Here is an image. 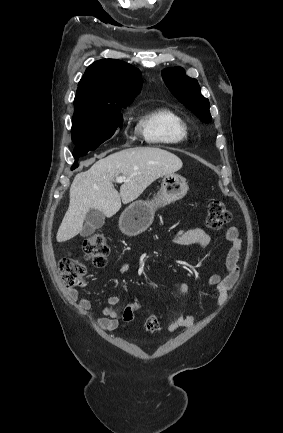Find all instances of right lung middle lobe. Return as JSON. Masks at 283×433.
Returning <instances> with one entry per match:
<instances>
[{
    "label": "right lung middle lobe",
    "instance_id": "right-lung-middle-lobe-1",
    "mask_svg": "<svg viewBox=\"0 0 283 433\" xmlns=\"http://www.w3.org/2000/svg\"><path fill=\"white\" fill-rule=\"evenodd\" d=\"M126 105L75 110L72 118V141L76 145L75 159L95 150L109 139L121 125V109Z\"/></svg>",
    "mask_w": 283,
    "mask_h": 433
}]
</instances>
